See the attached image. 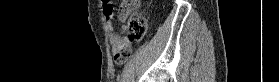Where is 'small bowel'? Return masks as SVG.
<instances>
[{
  "instance_id": "obj_1",
  "label": "small bowel",
  "mask_w": 279,
  "mask_h": 82,
  "mask_svg": "<svg viewBox=\"0 0 279 82\" xmlns=\"http://www.w3.org/2000/svg\"><path fill=\"white\" fill-rule=\"evenodd\" d=\"M104 18L106 21V27L109 32V42L111 45V52L114 55L115 62L122 64L126 60L124 59L123 50L127 47V41L121 34L115 32L113 26V10L109 3L104 4Z\"/></svg>"
}]
</instances>
